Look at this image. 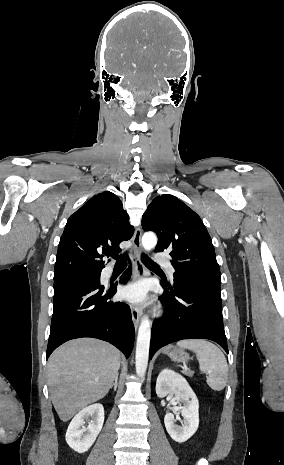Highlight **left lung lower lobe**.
I'll return each mask as SVG.
<instances>
[{
	"label": "left lung lower lobe",
	"instance_id": "1",
	"mask_svg": "<svg viewBox=\"0 0 284 465\" xmlns=\"http://www.w3.org/2000/svg\"><path fill=\"white\" fill-rule=\"evenodd\" d=\"M161 285L166 315L153 323L150 359L161 347L182 339H209L228 353L220 286L186 277H174L172 285Z\"/></svg>",
	"mask_w": 284,
	"mask_h": 465
}]
</instances>
